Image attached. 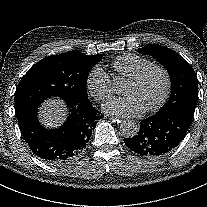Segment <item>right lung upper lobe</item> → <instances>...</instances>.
I'll return each mask as SVG.
<instances>
[{
  "instance_id": "cb5924a9",
  "label": "right lung upper lobe",
  "mask_w": 207,
  "mask_h": 207,
  "mask_svg": "<svg viewBox=\"0 0 207 207\" xmlns=\"http://www.w3.org/2000/svg\"><path fill=\"white\" fill-rule=\"evenodd\" d=\"M92 56H101V55H92Z\"/></svg>"
}]
</instances>
